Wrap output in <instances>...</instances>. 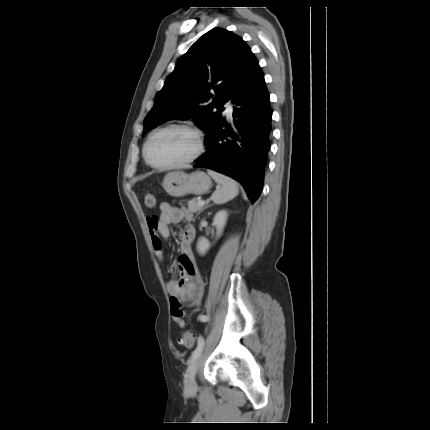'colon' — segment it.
I'll use <instances>...</instances> for the list:
<instances>
[{"label": "colon", "instance_id": "colon-1", "mask_svg": "<svg viewBox=\"0 0 430 430\" xmlns=\"http://www.w3.org/2000/svg\"><path fill=\"white\" fill-rule=\"evenodd\" d=\"M145 204L148 208H153L156 204V198L152 193H147L145 195ZM198 334L190 331L183 333L180 343L187 349H192L197 341Z\"/></svg>", "mask_w": 430, "mask_h": 430}]
</instances>
